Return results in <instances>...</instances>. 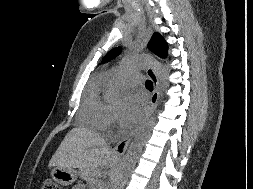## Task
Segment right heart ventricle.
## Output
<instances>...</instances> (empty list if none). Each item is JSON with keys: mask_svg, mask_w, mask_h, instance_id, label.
<instances>
[{"mask_svg": "<svg viewBox=\"0 0 253 189\" xmlns=\"http://www.w3.org/2000/svg\"><path fill=\"white\" fill-rule=\"evenodd\" d=\"M101 94V86L90 88L79 113L80 122L94 131H102L110 123L111 112L101 100Z\"/></svg>", "mask_w": 253, "mask_h": 189, "instance_id": "right-heart-ventricle-1", "label": "right heart ventricle"}]
</instances>
